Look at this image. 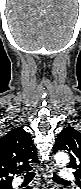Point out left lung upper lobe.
I'll return each instance as SVG.
<instances>
[{
  "mask_svg": "<svg viewBox=\"0 0 81 189\" xmlns=\"http://www.w3.org/2000/svg\"><path fill=\"white\" fill-rule=\"evenodd\" d=\"M65 150L70 155L69 167L74 172L76 184L81 188V132L72 127L64 128L56 139L53 152Z\"/></svg>",
  "mask_w": 81,
  "mask_h": 189,
  "instance_id": "obj_1",
  "label": "left lung upper lobe"
}]
</instances>
